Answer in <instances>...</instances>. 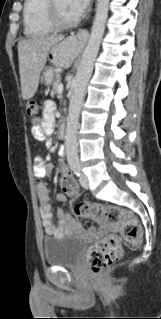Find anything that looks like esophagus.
Returning <instances> with one entry per match:
<instances>
[{
    "label": "esophagus",
    "mask_w": 161,
    "mask_h": 319,
    "mask_svg": "<svg viewBox=\"0 0 161 319\" xmlns=\"http://www.w3.org/2000/svg\"><path fill=\"white\" fill-rule=\"evenodd\" d=\"M88 31L86 29H80L78 32L76 33H72L71 37L73 38H77L78 41L80 42H86L88 39Z\"/></svg>",
    "instance_id": "obj_1"
}]
</instances>
